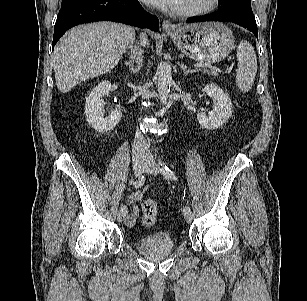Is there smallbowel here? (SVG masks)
Here are the masks:
<instances>
[{"label":"small bowel","mask_w":307,"mask_h":301,"mask_svg":"<svg viewBox=\"0 0 307 301\" xmlns=\"http://www.w3.org/2000/svg\"><path fill=\"white\" fill-rule=\"evenodd\" d=\"M144 196L145 190H137L127 197V204L131 206V211L125 220L128 226H133L136 223V220L140 215V209L137 206V203H139Z\"/></svg>","instance_id":"obj_1"}]
</instances>
